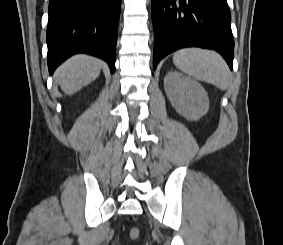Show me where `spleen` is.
<instances>
[{"label": "spleen", "instance_id": "3e777b00", "mask_svg": "<svg viewBox=\"0 0 283 245\" xmlns=\"http://www.w3.org/2000/svg\"><path fill=\"white\" fill-rule=\"evenodd\" d=\"M174 65L190 77L226 90L230 72L225 61L215 52L200 48H184L173 55Z\"/></svg>", "mask_w": 283, "mask_h": 245}]
</instances>
